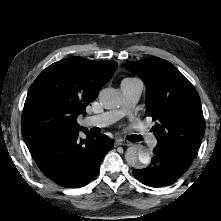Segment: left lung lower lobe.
I'll return each mask as SVG.
<instances>
[{"instance_id":"left-lung-lower-lobe-1","label":"left lung lower lobe","mask_w":221,"mask_h":221,"mask_svg":"<svg viewBox=\"0 0 221 221\" xmlns=\"http://www.w3.org/2000/svg\"><path fill=\"white\" fill-rule=\"evenodd\" d=\"M151 163L144 169L132 173L141 183L150 187H162L175 182L189 168L191 162L156 146Z\"/></svg>"}]
</instances>
